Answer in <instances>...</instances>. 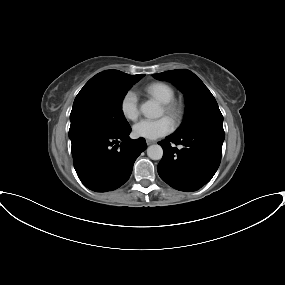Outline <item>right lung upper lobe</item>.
Listing matches in <instances>:
<instances>
[{"instance_id":"cb5924a9","label":"right lung upper lobe","mask_w":285,"mask_h":285,"mask_svg":"<svg viewBox=\"0 0 285 285\" xmlns=\"http://www.w3.org/2000/svg\"><path fill=\"white\" fill-rule=\"evenodd\" d=\"M139 75H141V74H139ZM139 75H134V76H139ZM126 76H132V75L125 74V73L118 71V70H107V71H103L101 73H98L97 75H95L91 79H101V78H108V77H126Z\"/></svg>"}]
</instances>
